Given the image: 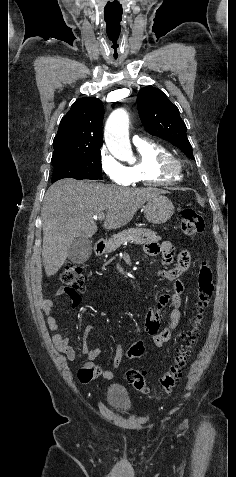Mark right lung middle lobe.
I'll return each instance as SVG.
<instances>
[{
	"label": "right lung middle lobe",
	"mask_w": 236,
	"mask_h": 477,
	"mask_svg": "<svg viewBox=\"0 0 236 477\" xmlns=\"http://www.w3.org/2000/svg\"><path fill=\"white\" fill-rule=\"evenodd\" d=\"M54 166L51 182L62 178L102 179L100 150L87 151L78 155L52 161Z\"/></svg>",
	"instance_id": "right-lung-middle-lobe-1"
}]
</instances>
